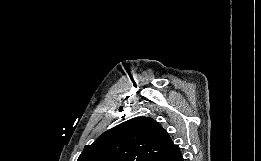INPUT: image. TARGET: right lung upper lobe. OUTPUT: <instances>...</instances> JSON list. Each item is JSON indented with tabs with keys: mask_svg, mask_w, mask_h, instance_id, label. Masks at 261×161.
<instances>
[{
	"mask_svg": "<svg viewBox=\"0 0 261 161\" xmlns=\"http://www.w3.org/2000/svg\"><path fill=\"white\" fill-rule=\"evenodd\" d=\"M178 151L159 123L149 117H137L86 145L77 161H160Z\"/></svg>",
	"mask_w": 261,
	"mask_h": 161,
	"instance_id": "1",
	"label": "right lung upper lobe"
}]
</instances>
